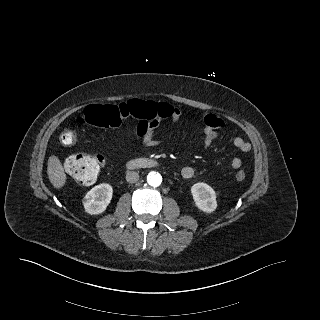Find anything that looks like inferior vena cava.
Here are the masks:
<instances>
[{
	"mask_svg": "<svg viewBox=\"0 0 320 320\" xmlns=\"http://www.w3.org/2000/svg\"><path fill=\"white\" fill-rule=\"evenodd\" d=\"M126 180L129 183H135L139 180V174L135 171H127Z\"/></svg>",
	"mask_w": 320,
	"mask_h": 320,
	"instance_id": "inferior-vena-cava-1",
	"label": "inferior vena cava"
}]
</instances>
